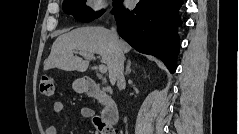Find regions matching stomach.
<instances>
[{"mask_svg":"<svg viewBox=\"0 0 239 134\" xmlns=\"http://www.w3.org/2000/svg\"><path fill=\"white\" fill-rule=\"evenodd\" d=\"M73 87L79 93H82L87 89V85L83 79L75 80L73 83Z\"/></svg>","mask_w":239,"mask_h":134,"instance_id":"0dacf381","label":"stomach"}]
</instances>
